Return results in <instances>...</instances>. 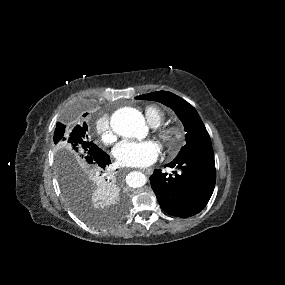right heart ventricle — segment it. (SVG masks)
Wrapping results in <instances>:
<instances>
[{
	"instance_id": "right-heart-ventricle-1",
	"label": "right heart ventricle",
	"mask_w": 285,
	"mask_h": 285,
	"mask_svg": "<svg viewBox=\"0 0 285 285\" xmlns=\"http://www.w3.org/2000/svg\"><path fill=\"white\" fill-rule=\"evenodd\" d=\"M145 117L147 121L152 126H158L160 125L163 120L165 119V112L164 110L157 106V105H149L144 110Z\"/></svg>"
}]
</instances>
